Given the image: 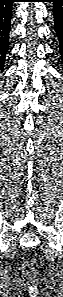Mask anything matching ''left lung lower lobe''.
<instances>
[{
  "label": "left lung lower lobe",
  "instance_id": "0a47b994",
  "mask_svg": "<svg viewBox=\"0 0 63 297\" xmlns=\"http://www.w3.org/2000/svg\"><path fill=\"white\" fill-rule=\"evenodd\" d=\"M53 2L55 31L59 39L61 59L63 61V0H49Z\"/></svg>",
  "mask_w": 63,
  "mask_h": 297
}]
</instances>
